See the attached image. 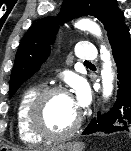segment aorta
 Returning <instances> with one entry per match:
<instances>
[{
  "label": "aorta",
  "mask_w": 131,
  "mask_h": 151,
  "mask_svg": "<svg viewBox=\"0 0 131 151\" xmlns=\"http://www.w3.org/2000/svg\"><path fill=\"white\" fill-rule=\"evenodd\" d=\"M75 27L80 30L89 31L91 34L101 37V29L100 27L93 21L89 19H81L76 24ZM101 58L103 61L102 70H101V78H102V92L103 97L108 99L113 92V80L114 73L112 70V62L110 58V53L106 49L105 46H101L100 49Z\"/></svg>",
  "instance_id": "aorta-1"
}]
</instances>
